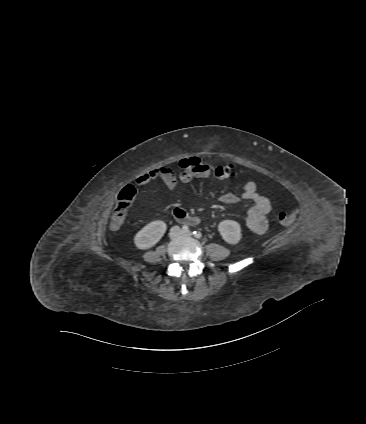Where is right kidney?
Listing matches in <instances>:
<instances>
[{
  "label": "right kidney",
  "instance_id": "1",
  "mask_svg": "<svg viewBox=\"0 0 366 424\" xmlns=\"http://www.w3.org/2000/svg\"><path fill=\"white\" fill-rule=\"evenodd\" d=\"M166 228V224L160 220L147 224L134 237L136 247L142 250L153 247L163 237Z\"/></svg>",
  "mask_w": 366,
  "mask_h": 424
}]
</instances>
